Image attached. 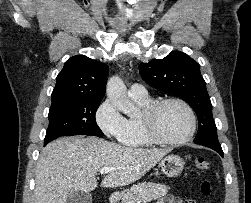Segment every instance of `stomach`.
I'll list each match as a JSON object with an SVG mask.
<instances>
[{"mask_svg":"<svg viewBox=\"0 0 251 203\" xmlns=\"http://www.w3.org/2000/svg\"><path fill=\"white\" fill-rule=\"evenodd\" d=\"M159 167L167 177H175L182 172L184 161L180 156L171 154L160 160Z\"/></svg>","mask_w":251,"mask_h":203,"instance_id":"stomach-1","label":"stomach"}]
</instances>
